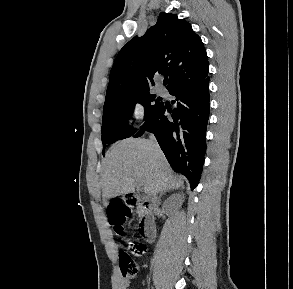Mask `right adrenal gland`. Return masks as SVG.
I'll return each mask as SVG.
<instances>
[{"label": "right adrenal gland", "mask_w": 293, "mask_h": 289, "mask_svg": "<svg viewBox=\"0 0 293 289\" xmlns=\"http://www.w3.org/2000/svg\"><path fill=\"white\" fill-rule=\"evenodd\" d=\"M174 189H176V188L167 189V190H165L164 192H162V193L160 194V196H159V202L161 201L162 196H163L166 192H169V191L174 190Z\"/></svg>", "instance_id": "2a0ac1e0"}]
</instances>
